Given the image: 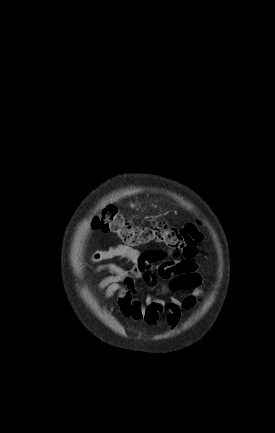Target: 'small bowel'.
I'll return each instance as SVG.
<instances>
[{
    "label": "small bowel",
    "mask_w": 275,
    "mask_h": 433,
    "mask_svg": "<svg viewBox=\"0 0 275 433\" xmlns=\"http://www.w3.org/2000/svg\"><path fill=\"white\" fill-rule=\"evenodd\" d=\"M195 256L162 260L164 253L160 250L138 251L124 245H114L96 251L91 262L97 263L121 257L133 267L126 269L117 264H105L96 269V273H108L98 284L104 298H117V307L125 318L142 321L155 326L162 314L169 327L178 325L181 313L190 310L202 294L203 278L198 271ZM143 281L149 288L162 286L164 293L178 291L188 292L184 297H172L168 300L155 295L138 296L137 282Z\"/></svg>",
    "instance_id": "1"
}]
</instances>
